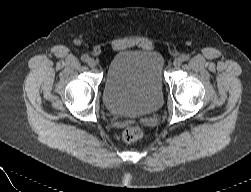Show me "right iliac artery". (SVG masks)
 <instances>
[{
    "instance_id": "obj_1",
    "label": "right iliac artery",
    "mask_w": 251,
    "mask_h": 192,
    "mask_svg": "<svg viewBox=\"0 0 251 192\" xmlns=\"http://www.w3.org/2000/svg\"><path fill=\"white\" fill-rule=\"evenodd\" d=\"M88 59H89V56H88V55H83V56L81 57V60H82L83 62H87Z\"/></svg>"
}]
</instances>
